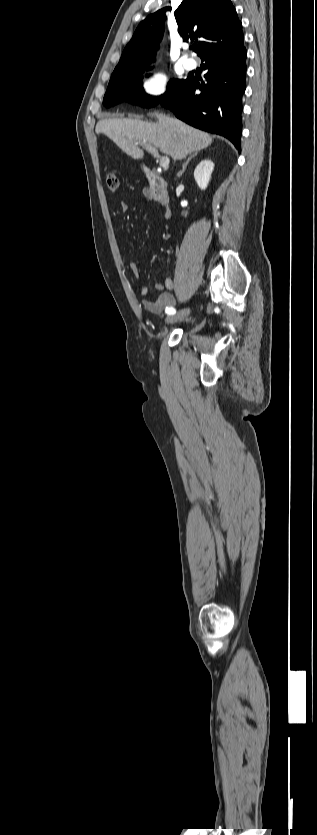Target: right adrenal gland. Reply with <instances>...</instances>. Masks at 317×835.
Wrapping results in <instances>:
<instances>
[{"label":"right adrenal gland","instance_id":"obj_1","mask_svg":"<svg viewBox=\"0 0 317 835\" xmlns=\"http://www.w3.org/2000/svg\"><path fill=\"white\" fill-rule=\"evenodd\" d=\"M197 155H198V152H195V153H193V154H191V155L189 156V158L187 159V161L183 164V168H182V170H181V171H179V172L177 173V177H181V176H182V174L185 172V170H186V168H187V166H188L189 162H190L193 158H195Z\"/></svg>","mask_w":317,"mask_h":835}]
</instances>
